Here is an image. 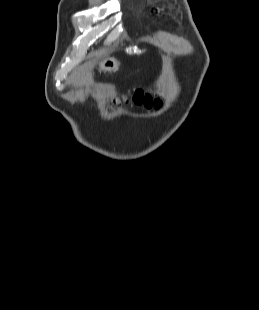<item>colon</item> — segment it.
Segmentation results:
<instances>
[{
  "label": "colon",
  "instance_id": "colon-1",
  "mask_svg": "<svg viewBox=\"0 0 259 310\" xmlns=\"http://www.w3.org/2000/svg\"><path fill=\"white\" fill-rule=\"evenodd\" d=\"M132 99L139 103V104H152L155 103V101L152 99V97L148 94H145L144 92L141 91H136L132 95Z\"/></svg>",
  "mask_w": 259,
  "mask_h": 310
}]
</instances>
